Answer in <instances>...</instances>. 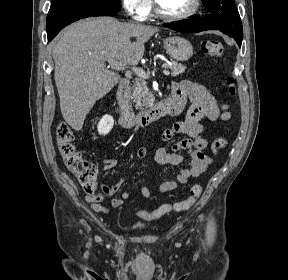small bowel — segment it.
<instances>
[{"label":"small bowel","mask_w":288,"mask_h":280,"mask_svg":"<svg viewBox=\"0 0 288 280\" xmlns=\"http://www.w3.org/2000/svg\"><path fill=\"white\" fill-rule=\"evenodd\" d=\"M172 98L182 102L181 110L177 114L185 111L188 100L190 106L186 110L183 121L176 122L163 131L162 140L171 141L176 135H183V138L174 142L170 149L159 148L154 155V159L159 164L181 166L184 161L181 152H185L189 162L187 166L178 169L175 180L160 185L159 191L161 193L173 191L179 185L201 177L211 164L212 156L207 154L205 149L210 148L212 153L215 154L217 140L210 142L203 135L204 124L202 120L207 119L213 122L217 120L227 121L230 118L228 105L218 102L203 85L194 80L175 82L172 85ZM146 155L147 150L144 147H138L135 151V156L138 159H143ZM103 162L104 171L112 170L117 164V161L110 157H104ZM124 182L125 178L122 177L113 186H104L99 194H87L86 201L91 203L95 211L101 213H108L111 209L119 208L131 196L130 192L123 191L120 197H113L121 189ZM140 193L145 198L151 197V191L147 186H141ZM111 197L113 198L110 207L99 203L101 200Z\"/></svg>","instance_id":"obj_1"}]
</instances>
